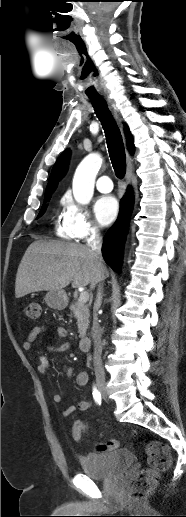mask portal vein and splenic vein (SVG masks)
Returning a JSON list of instances; mask_svg holds the SVG:
<instances>
[{
    "label": "portal vein and splenic vein",
    "mask_w": 186,
    "mask_h": 517,
    "mask_svg": "<svg viewBox=\"0 0 186 517\" xmlns=\"http://www.w3.org/2000/svg\"><path fill=\"white\" fill-rule=\"evenodd\" d=\"M88 300H89V293L86 291L81 292L78 301L80 303H86Z\"/></svg>",
    "instance_id": "1"
}]
</instances>
